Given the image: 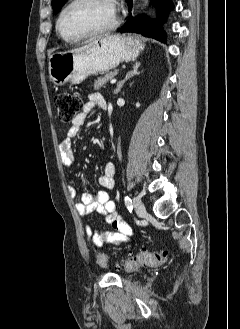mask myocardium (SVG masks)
I'll return each instance as SVG.
<instances>
[{"label":"myocardium","instance_id":"f54148a6","mask_svg":"<svg viewBox=\"0 0 240 329\" xmlns=\"http://www.w3.org/2000/svg\"><path fill=\"white\" fill-rule=\"evenodd\" d=\"M84 0H71L62 10L61 12L59 13V16H58V19H57V22H56V29H57V32L59 33V35L67 42H76V41H80V40H84V39H87V38H90V37H94V36H98V35H102V34H106V33H109L113 30H115L119 23H120V18L118 16V14L116 13V17L114 19V21L106 26V27H103V28H100V29H97V30H94V31H91V32H88V33H85V34H82L80 36H75V37H70L68 35H66L63 30H62V20H63V17L65 15V13L71 8L73 7L74 5L82 2ZM108 2H110L114 9H115V3L113 0H108ZM115 12H116V9H115Z\"/></svg>","mask_w":240,"mask_h":329}]
</instances>
